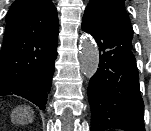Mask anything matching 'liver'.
Instances as JSON below:
<instances>
[{
    "label": "liver",
    "mask_w": 151,
    "mask_h": 131,
    "mask_svg": "<svg viewBox=\"0 0 151 131\" xmlns=\"http://www.w3.org/2000/svg\"><path fill=\"white\" fill-rule=\"evenodd\" d=\"M26 115H27V122H31L33 120L34 112L28 108V110L26 111Z\"/></svg>",
    "instance_id": "obj_1"
}]
</instances>
